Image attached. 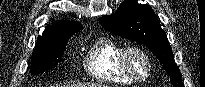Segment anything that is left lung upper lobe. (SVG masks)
<instances>
[{"mask_svg": "<svg viewBox=\"0 0 205 87\" xmlns=\"http://www.w3.org/2000/svg\"><path fill=\"white\" fill-rule=\"evenodd\" d=\"M100 24L113 34L148 46L163 64L173 87H184L170 43L161 28L160 21L149 5L140 4L137 0H125L115 13L101 17Z\"/></svg>", "mask_w": 205, "mask_h": 87, "instance_id": "1", "label": "left lung upper lobe"}]
</instances>
